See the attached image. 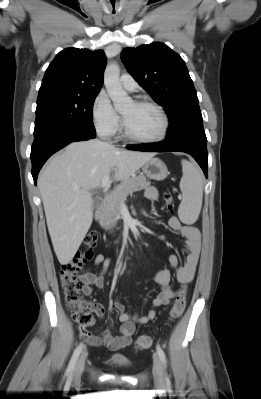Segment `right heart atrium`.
<instances>
[{
  "label": "right heart atrium",
  "mask_w": 261,
  "mask_h": 399,
  "mask_svg": "<svg viewBox=\"0 0 261 399\" xmlns=\"http://www.w3.org/2000/svg\"><path fill=\"white\" fill-rule=\"evenodd\" d=\"M92 121L96 131L104 138L114 137L120 130V116L104 93H99L93 101Z\"/></svg>",
  "instance_id": "obj_1"
}]
</instances>
